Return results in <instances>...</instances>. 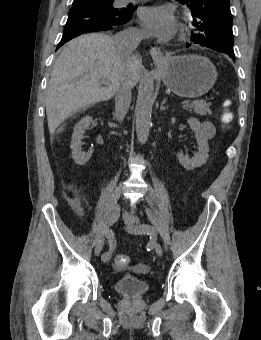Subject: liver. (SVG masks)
<instances>
[{"label":"liver","instance_id":"1","mask_svg":"<svg viewBox=\"0 0 261 340\" xmlns=\"http://www.w3.org/2000/svg\"><path fill=\"white\" fill-rule=\"evenodd\" d=\"M139 76L138 59L122 57L111 36L89 33L71 40L56 60L47 87L50 134L70 115L112 98L121 77L134 87Z\"/></svg>","mask_w":261,"mask_h":340}]
</instances>
